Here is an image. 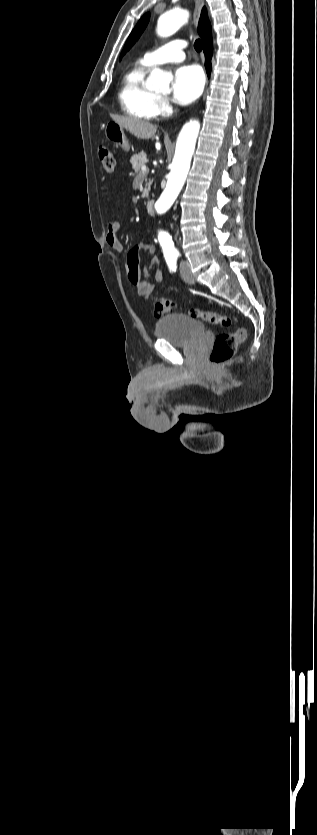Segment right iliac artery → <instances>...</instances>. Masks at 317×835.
<instances>
[{"instance_id": "82829eb1", "label": "right iliac artery", "mask_w": 317, "mask_h": 835, "mask_svg": "<svg viewBox=\"0 0 317 835\" xmlns=\"http://www.w3.org/2000/svg\"><path fill=\"white\" fill-rule=\"evenodd\" d=\"M176 261H177V257L166 258V262H167V265H168L170 271H173V272L176 271V268H177Z\"/></svg>"}]
</instances>
